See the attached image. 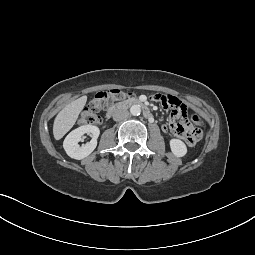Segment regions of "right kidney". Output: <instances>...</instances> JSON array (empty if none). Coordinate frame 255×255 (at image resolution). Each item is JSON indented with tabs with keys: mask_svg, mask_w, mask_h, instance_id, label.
Returning <instances> with one entry per match:
<instances>
[{
	"mask_svg": "<svg viewBox=\"0 0 255 255\" xmlns=\"http://www.w3.org/2000/svg\"><path fill=\"white\" fill-rule=\"evenodd\" d=\"M85 133L92 137V140L86 144L79 145L82 135ZM100 130L93 125H83L71 131L63 142L64 150L67 155L73 159L81 160L90 155L97 146V138Z\"/></svg>",
	"mask_w": 255,
	"mask_h": 255,
	"instance_id": "right-kidney-1",
	"label": "right kidney"
}]
</instances>
